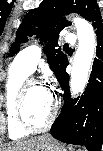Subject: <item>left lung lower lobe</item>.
<instances>
[{"instance_id":"0a47b994","label":"left lung lower lobe","mask_w":103,"mask_h":151,"mask_svg":"<svg viewBox=\"0 0 103 151\" xmlns=\"http://www.w3.org/2000/svg\"><path fill=\"white\" fill-rule=\"evenodd\" d=\"M97 50L89 83L83 95L71 99L66 62L57 74L64 90V105L51 127V134L58 140L84 145L89 151H100L103 142V30L96 28Z\"/></svg>"}]
</instances>
